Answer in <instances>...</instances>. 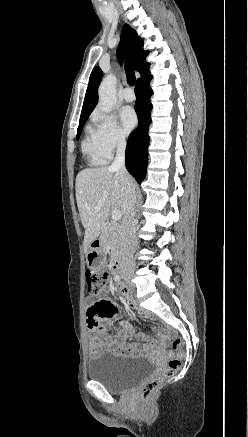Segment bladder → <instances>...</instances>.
Listing matches in <instances>:
<instances>
[{"label": "bladder", "mask_w": 248, "mask_h": 437, "mask_svg": "<svg viewBox=\"0 0 248 437\" xmlns=\"http://www.w3.org/2000/svg\"><path fill=\"white\" fill-rule=\"evenodd\" d=\"M156 371V365L145 357L102 354L88 365L87 374L108 391L121 393L151 378Z\"/></svg>", "instance_id": "31cf9c89"}]
</instances>
